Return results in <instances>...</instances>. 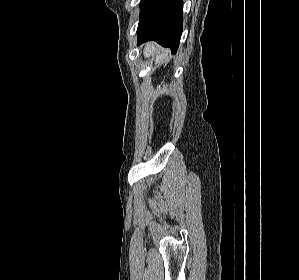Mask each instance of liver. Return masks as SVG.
Here are the masks:
<instances>
[{"label":"liver","instance_id":"liver-1","mask_svg":"<svg viewBox=\"0 0 299 280\" xmlns=\"http://www.w3.org/2000/svg\"><path fill=\"white\" fill-rule=\"evenodd\" d=\"M159 48L155 43H147L144 48V56L150 57L156 54L155 65H159L163 62L164 58L167 55V50H162V52L158 53Z\"/></svg>","mask_w":299,"mask_h":280}]
</instances>
